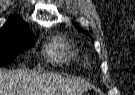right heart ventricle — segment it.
Listing matches in <instances>:
<instances>
[{
	"label": "right heart ventricle",
	"instance_id": "e07e8e85",
	"mask_svg": "<svg viewBox=\"0 0 135 95\" xmlns=\"http://www.w3.org/2000/svg\"><path fill=\"white\" fill-rule=\"evenodd\" d=\"M45 54L50 61L63 62L76 56L73 46L63 37L49 42Z\"/></svg>",
	"mask_w": 135,
	"mask_h": 95
}]
</instances>
